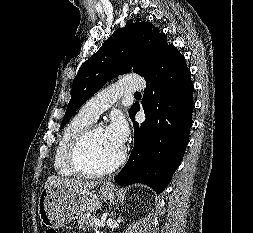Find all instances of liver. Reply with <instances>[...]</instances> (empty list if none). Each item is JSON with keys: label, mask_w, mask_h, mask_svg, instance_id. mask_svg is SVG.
<instances>
[{"label": "liver", "mask_w": 253, "mask_h": 233, "mask_svg": "<svg viewBox=\"0 0 253 233\" xmlns=\"http://www.w3.org/2000/svg\"><path fill=\"white\" fill-rule=\"evenodd\" d=\"M98 182H83L71 178L60 177V176H49L44 184V187H65L73 192H87L88 190L93 189Z\"/></svg>", "instance_id": "obj_1"}]
</instances>
